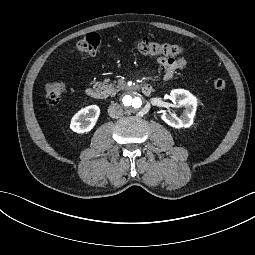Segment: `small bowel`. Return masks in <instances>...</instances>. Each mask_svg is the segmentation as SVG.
<instances>
[{
    "mask_svg": "<svg viewBox=\"0 0 255 255\" xmlns=\"http://www.w3.org/2000/svg\"><path fill=\"white\" fill-rule=\"evenodd\" d=\"M157 63L164 70V79L170 80L174 77V75L180 71L185 69L187 65V61L183 57H158Z\"/></svg>",
    "mask_w": 255,
    "mask_h": 255,
    "instance_id": "small-bowel-1",
    "label": "small bowel"
}]
</instances>
